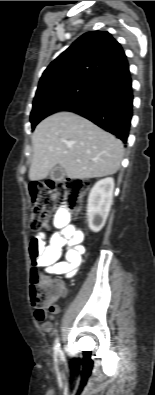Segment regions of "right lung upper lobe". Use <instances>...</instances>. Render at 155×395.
<instances>
[{
  "label": "right lung upper lobe",
  "instance_id": "1",
  "mask_svg": "<svg viewBox=\"0 0 155 395\" xmlns=\"http://www.w3.org/2000/svg\"><path fill=\"white\" fill-rule=\"evenodd\" d=\"M128 69L129 64L121 44L109 32H87L46 68L37 92L75 80L101 83L109 75Z\"/></svg>",
  "mask_w": 155,
  "mask_h": 395
}]
</instances>
